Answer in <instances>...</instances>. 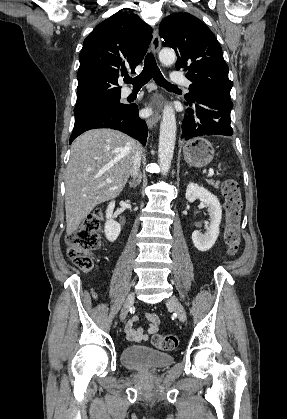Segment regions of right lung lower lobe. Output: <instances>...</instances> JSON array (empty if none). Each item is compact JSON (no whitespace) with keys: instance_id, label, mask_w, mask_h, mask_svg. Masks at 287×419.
<instances>
[{"instance_id":"98d812e1","label":"right lung lower lobe","mask_w":287,"mask_h":419,"mask_svg":"<svg viewBox=\"0 0 287 419\" xmlns=\"http://www.w3.org/2000/svg\"><path fill=\"white\" fill-rule=\"evenodd\" d=\"M94 128L119 130L139 140L143 145L146 144L147 124L139 118L137 105L94 112L75 121L70 143L83 132Z\"/></svg>"}]
</instances>
